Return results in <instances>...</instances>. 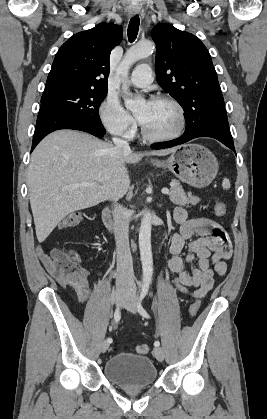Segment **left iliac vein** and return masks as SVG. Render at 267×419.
<instances>
[{
    "mask_svg": "<svg viewBox=\"0 0 267 419\" xmlns=\"http://www.w3.org/2000/svg\"><path fill=\"white\" fill-rule=\"evenodd\" d=\"M124 307L132 313L137 312V296L135 293H132L130 294V296H128L127 300L124 303ZM153 354L158 361L164 360V353L162 348L155 347L153 350Z\"/></svg>",
    "mask_w": 267,
    "mask_h": 419,
    "instance_id": "4c4485c4",
    "label": "left iliac vein"
}]
</instances>
